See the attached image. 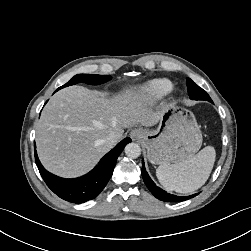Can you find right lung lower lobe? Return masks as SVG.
<instances>
[{
	"instance_id": "98d812e1",
	"label": "right lung lower lobe",
	"mask_w": 251,
	"mask_h": 251,
	"mask_svg": "<svg viewBox=\"0 0 251 251\" xmlns=\"http://www.w3.org/2000/svg\"><path fill=\"white\" fill-rule=\"evenodd\" d=\"M129 142L131 139L128 137L122 140L99 161L93 170L74 179H64L48 172L40 163L36 150L35 161L43 180L57 196L80 204L96 198L104 189L112 176L118 156ZM34 148H36L35 144Z\"/></svg>"
}]
</instances>
